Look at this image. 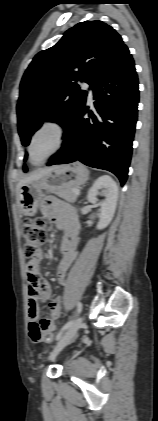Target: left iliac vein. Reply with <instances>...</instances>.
<instances>
[{
    "mask_svg": "<svg viewBox=\"0 0 158 421\" xmlns=\"http://www.w3.org/2000/svg\"><path fill=\"white\" fill-rule=\"evenodd\" d=\"M82 322H83V318L81 316H79L73 322V324L68 328V330L64 333V335L58 341L53 351L50 353L49 359H54L65 346H67L68 344L72 342V340L76 336L77 331L80 329Z\"/></svg>",
    "mask_w": 158,
    "mask_h": 421,
    "instance_id": "4c4485c4",
    "label": "left iliac vein"
}]
</instances>
